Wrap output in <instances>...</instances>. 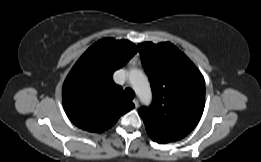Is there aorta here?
I'll return each mask as SVG.
<instances>
[{
  "instance_id": "obj_1",
  "label": "aorta",
  "mask_w": 261,
  "mask_h": 162,
  "mask_svg": "<svg viewBox=\"0 0 261 162\" xmlns=\"http://www.w3.org/2000/svg\"><path fill=\"white\" fill-rule=\"evenodd\" d=\"M129 81L140 101L144 104H149L152 99V94L149 82L143 72L138 69H132L129 73Z\"/></svg>"
}]
</instances>
